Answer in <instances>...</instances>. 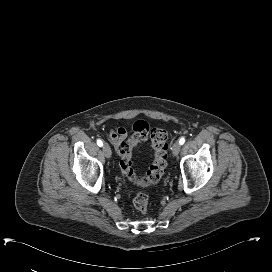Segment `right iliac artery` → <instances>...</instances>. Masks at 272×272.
Wrapping results in <instances>:
<instances>
[{
	"mask_svg": "<svg viewBox=\"0 0 272 272\" xmlns=\"http://www.w3.org/2000/svg\"><path fill=\"white\" fill-rule=\"evenodd\" d=\"M97 145H98V146H100V147H102V146H103V141H102V140H100V139H99V140H97Z\"/></svg>",
	"mask_w": 272,
	"mask_h": 272,
	"instance_id": "82829eb1",
	"label": "right iliac artery"
}]
</instances>
